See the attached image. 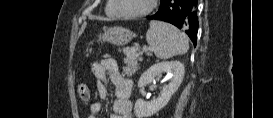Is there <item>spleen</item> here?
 <instances>
[{"instance_id":"3e777b00","label":"spleen","mask_w":273,"mask_h":118,"mask_svg":"<svg viewBox=\"0 0 273 118\" xmlns=\"http://www.w3.org/2000/svg\"><path fill=\"white\" fill-rule=\"evenodd\" d=\"M146 40L157 58L168 59L176 55L185 54L189 49L187 36L174 26L151 21L146 33Z\"/></svg>"}]
</instances>
